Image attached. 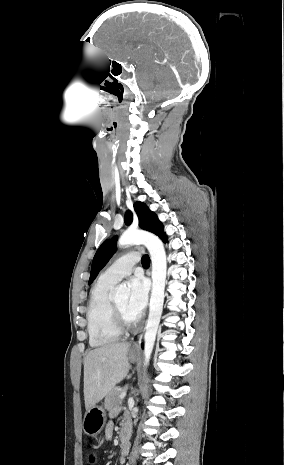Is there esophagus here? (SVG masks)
I'll use <instances>...</instances> for the list:
<instances>
[{"label":"esophagus","instance_id":"34e87169","mask_svg":"<svg viewBox=\"0 0 284 465\" xmlns=\"http://www.w3.org/2000/svg\"><path fill=\"white\" fill-rule=\"evenodd\" d=\"M138 345H139V342L136 341V342H135V346H138Z\"/></svg>","mask_w":284,"mask_h":465}]
</instances>
